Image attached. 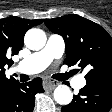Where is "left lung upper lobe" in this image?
<instances>
[{
	"label": "left lung upper lobe",
	"instance_id": "5c2ea615",
	"mask_svg": "<svg viewBox=\"0 0 112 112\" xmlns=\"http://www.w3.org/2000/svg\"><path fill=\"white\" fill-rule=\"evenodd\" d=\"M44 23L64 38V64L89 69L87 84L112 87V38L105 29L78 15L44 19Z\"/></svg>",
	"mask_w": 112,
	"mask_h": 112
}]
</instances>
